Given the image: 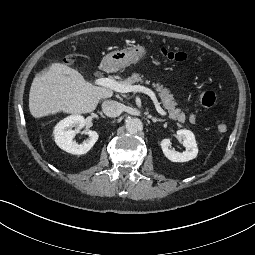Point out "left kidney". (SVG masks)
Masks as SVG:
<instances>
[{"label":"left kidney","mask_w":255,"mask_h":255,"mask_svg":"<svg viewBox=\"0 0 255 255\" xmlns=\"http://www.w3.org/2000/svg\"><path fill=\"white\" fill-rule=\"evenodd\" d=\"M177 138L185 147L184 152L171 149L170 139H163L160 143L164 155L172 162H187L194 159L198 154V147L193 132L186 129L177 131Z\"/></svg>","instance_id":"left-kidney-1"}]
</instances>
